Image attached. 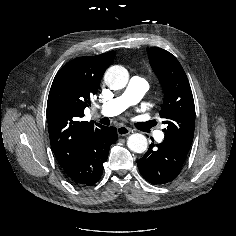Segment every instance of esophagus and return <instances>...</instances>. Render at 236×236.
I'll return each instance as SVG.
<instances>
[{
	"instance_id": "esophagus-1",
	"label": "esophagus",
	"mask_w": 236,
	"mask_h": 236,
	"mask_svg": "<svg viewBox=\"0 0 236 236\" xmlns=\"http://www.w3.org/2000/svg\"><path fill=\"white\" fill-rule=\"evenodd\" d=\"M131 132V129L126 126H119L117 128V133L119 136H126Z\"/></svg>"
}]
</instances>
